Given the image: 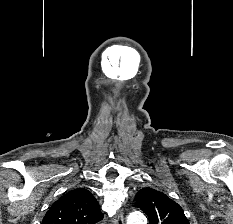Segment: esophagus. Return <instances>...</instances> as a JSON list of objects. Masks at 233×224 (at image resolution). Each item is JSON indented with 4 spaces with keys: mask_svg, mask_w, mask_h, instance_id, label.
Listing matches in <instances>:
<instances>
[{
    "mask_svg": "<svg viewBox=\"0 0 233 224\" xmlns=\"http://www.w3.org/2000/svg\"><path fill=\"white\" fill-rule=\"evenodd\" d=\"M112 224H124L123 212L121 210L113 218Z\"/></svg>",
    "mask_w": 233,
    "mask_h": 224,
    "instance_id": "34e87169",
    "label": "esophagus"
}]
</instances>
